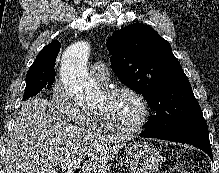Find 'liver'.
I'll use <instances>...</instances> for the list:
<instances>
[{
	"mask_svg": "<svg viewBox=\"0 0 219 173\" xmlns=\"http://www.w3.org/2000/svg\"><path fill=\"white\" fill-rule=\"evenodd\" d=\"M124 138L68 123L42 97L27 100L15 119L5 152V173H52L54 168L107 173Z\"/></svg>",
	"mask_w": 219,
	"mask_h": 173,
	"instance_id": "obj_1",
	"label": "liver"
}]
</instances>
